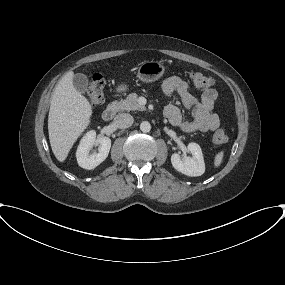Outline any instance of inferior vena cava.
<instances>
[{"label": "inferior vena cava", "mask_w": 285, "mask_h": 285, "mask_svg": "<svg viewBox=\"0 0 285 285\" xmlns=\"http://www.w3.org/2000/svg\"><path fill=\"white\" fill-rule=\"evenodd\" d=\"M133 122L134 118L128 113H120L114 119V124L120 129L129 128Z\"/></svg>", "instance_id": "inferior-vena-cava-1"}]
</instances>
